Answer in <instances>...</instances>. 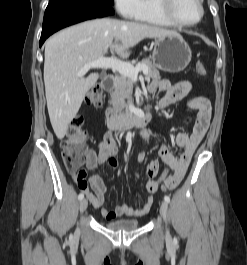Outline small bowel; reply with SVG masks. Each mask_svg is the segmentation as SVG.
<instances>
[{"label":"small bowel","instance_id":"c3829d8e","mask_svg":"<svg viewBox=\"0 0 247 265\" xmlns=\"http://www.w3.org/2000/svg\"><path fill=\"white\" fill-rule=\"evenodd\" d=\"M150 89H159L165 92L164 97L158 102V108L162 110L185 98L190 93L192 84L189 81H181L172 84L168 80H155L151 83ZM186 105L188 109L197 111L193 130L190 134H177L175 142L183 149L179 158H175L168 146L160 141L158 154L162 161L171 167L173 172L164 184L160 186L157 181L153 179L158 173V162L156 160H151L147 163V180L145 181L144 187L150 196L142 208L135 209L125 204L116 206L114 210L102 208L107 192V187L103 179L99 175H93L88 180L85 176H75V182L78 187L85 193L94 208L101 209L100 212L103 218L113 220L122 216H142L148 213L151 208L152 194L156 193L159 189L164 191L172 190L183 180L192 156L208 130L212 114L211 103L205 97H191ZM140 136L145 146L151 137H155V134L149 129H144ZM116 153L117 138L111 131L107 132L98 145V152L88 150L86 159L87 169L94 170L99 164H105L112 169H116L118 165ZM137 159L140 163L145 162L146 155L143 150L139 152Z\"/></svg>","mask_w":247,"mask_h":265}]
</instances>
